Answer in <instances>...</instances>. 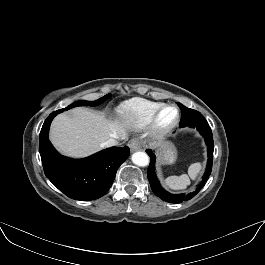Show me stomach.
<instances>
[{"mask_svg":"<svg viewBox=\"0 0 265 265\" xmlns=\"http://www.w3.org/2000/svg\"><path fill=\"white\" fill-rule=\"evenodd\" d=\"M161 164H172L177 158V151L171 142L163 143L159 152Z\"/></svg>","mask_w":265,"mask_h":265,"instance_id":"1","label":"stomach"}]
</instances>
